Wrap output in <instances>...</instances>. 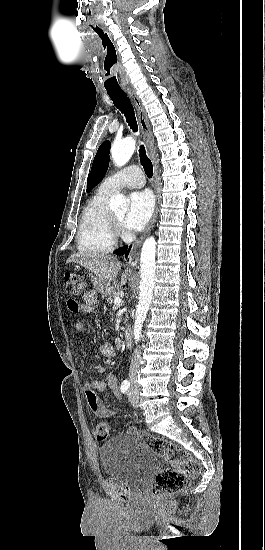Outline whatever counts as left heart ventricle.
Segmentation results:
<instances>
[{
  "label": "left heart ventricle",
  "instance_id": "left-heart-ventricle-1",
  "mask_svg": "<svg viewBox=\"0 0 265 550\" xmlns=\"http://www.w3.org/2000/svg\"><path fill=\"white\" fill-rule=\"evenodd\" d=\"M114 215H115L121 222H123L125 212H114Z\"/></svg>",
  "mask_w": 265,
  "mask_h": 550
}]
</instances>
